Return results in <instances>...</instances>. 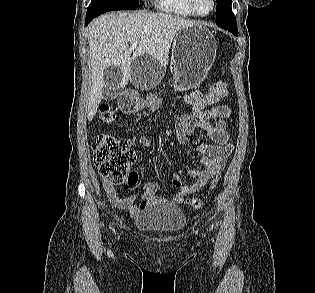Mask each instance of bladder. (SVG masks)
I'll list each match as a JSON object with an SVG mask.
<instances>
[{"label":"bladder","instance_id":"obj_1","mask_svg":"<svg viewBox=\"0 0 315 293\" xmlns=\"http://www.w3.org/2000/svg\"><path fill=\"white\" fill-rule=\"evenodd\" d=\"M187 217L177 206L164 203L152 204L138 213L135 227L143 232L175 235L185 227Z\"/></svg>","mask_w":315,"mask_h":293}]
</instances>
